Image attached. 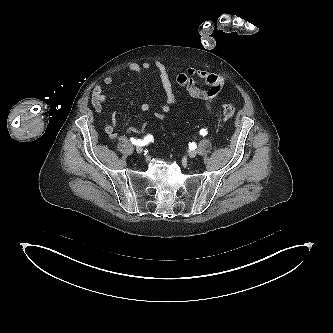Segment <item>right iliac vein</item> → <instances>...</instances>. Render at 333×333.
Returning a JSON list of instances; mask_svg holds the SVG:
<instances>
[{
    "mask_svg": "<svg viewBox=\"0 0 333 333\" xmlns=\"http://www.w3.org/2000/svg\"><path fill=\"white\" fill-rule=\"evenodd\" d=\"M142 151H143V148H142V147H140V146L136 147V152H137L138 154H141Z\"/></svg>",
    "mask_w": 333,
    "mask_h": 333,
    "instance_id": "63e3f726",
    "label": "right iliac vein"
}]
</instances>
